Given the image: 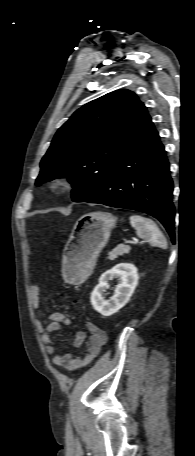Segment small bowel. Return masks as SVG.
<instances>
[{"instance_id": "small-bowel-1", "label": "small bowel", "mask_w": 195, "mask_h": 456, "mask_svg": "<svg viewBox=\"0 0 195 456\" xmlns=\"http://www.w3.org/2000/svg\"><path fill=\"white\" fill-rule=\"evenodd\" d=\"M30 300L34 308L40 307V288L37 285L30 287ZM70 324L69 318L63 313L56 311L51 313L46 320L38 322V329L45 344L46 351L53 355L56 347L55 341L51 338V333L61 330ZM88 335L80 331L77 333L73 345L76 348L84 346V351L79 355L72 353H57L53 357V363L69 371L86 366L100 352L106 342L105 332L95 323L89 321L86 324Z\"/></svg>"}]
</instances>
